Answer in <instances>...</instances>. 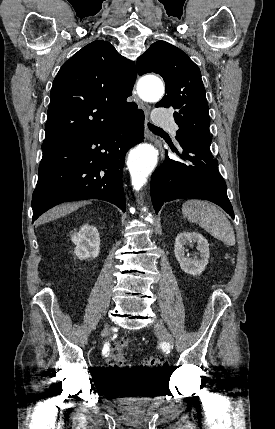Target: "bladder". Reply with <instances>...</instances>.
<instances>
[{"instance_id":"31cf9c89","label":"bladder","mask_w":275,"mask_h":429,"mask_svg":"<svg viewBox=\"0 0 275 429\" xmlns=\"http://www.w3.org/2000/svg\"><path fill=\"white\" fill-rule=\"evenodd\" d=\"M107 385L105 397L117 403H146L156 393L153 377H108Z\"/></svg>"}]
</instances>
